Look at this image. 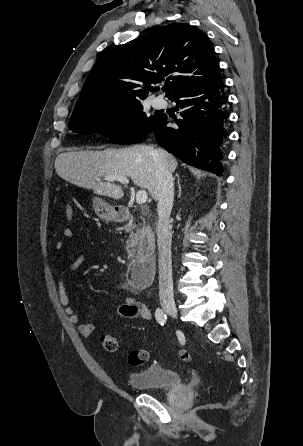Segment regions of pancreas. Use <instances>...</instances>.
<instances>
[{
	"instance_id": "cf45deb5",
	"label": "pancreas",
	"mask_w": 303,
	"mask_h": 446,
	"mask_svg": "<svg viewBox=\"0 0 303 446\" xmlns=\"http://www.w3.org/2000/svg\"><path fill=\"white\" fill-rule=\"evenodd\" d=\"M125 230L130 232L129 239L126 244L128 257H134L136 252L138 254L152 251L155 247L154 232L151 227L145 223L139 227L132 221L125 225Z\"/></svg>"
}]
</instances>
